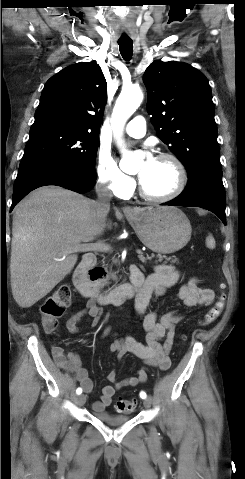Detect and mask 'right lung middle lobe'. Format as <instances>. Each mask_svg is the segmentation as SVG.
Here are the masks:
<instances>
[{
	"instance_id": "right-lung-middle-lobe-1",
	"label": "right lung middle lobe",
	"mask_w": 245,
	"mask_h": 479,
	"mask_svg": "<svg viewBox=\"0 0 245 479\" xmlns=\"http://www.w3.org/2000/svg\"><path fill=\"white\" fill-rule=\"evenodd\" d=\"M98 133L58 125L31 127L19 169L62 163L95 173Z\"/></svg>"
}]
</instances>
